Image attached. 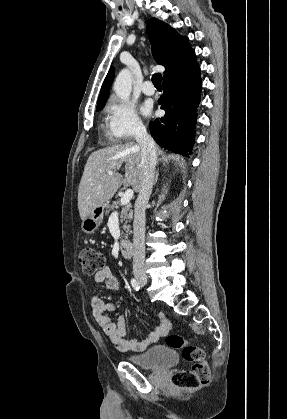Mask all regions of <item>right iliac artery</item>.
I'll use <instances>...</instances> for the list:
<instances>
[{
    "label": "right iliac artery",
    "instance_id": "right-iliac-artery-1",
    "mask_svg": "<svg viewBox=\"0 0 287 419\" xmlns=\"http://www.w3.org/2000/svg\"><path fill=\"white\" fill-rule=\"evenodd\" d=\"M131 285H132V287H133L136 291H139L140 286H139V283H138V281H137L136 279H132V280H131Z\"/></svg>",
    "mask_w": 287,
    "mask_h": 419
}]
</instances>
